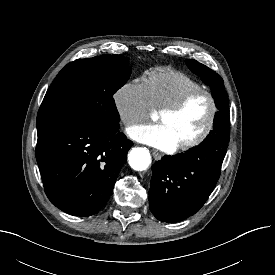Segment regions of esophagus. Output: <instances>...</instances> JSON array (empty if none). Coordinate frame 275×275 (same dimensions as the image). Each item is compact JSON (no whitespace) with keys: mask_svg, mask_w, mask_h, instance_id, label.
I'll use <instances>...</instances> for the list:
<instances>
[{"mask_svg":"<svg viewBox=\"0 0 275 275\" xmlns=\"http://www.w3.org/2000/svg\"><path fill=\"white\" fill-rule=\"evenodd\" d=\"M152 155L155 158V160H161V158H162V155L156 150L152 151Z\"/></svg>","mask_w":275,"mask_h":275,"instance_id":"34e87169","label":"esophagus"}]
</instances>
